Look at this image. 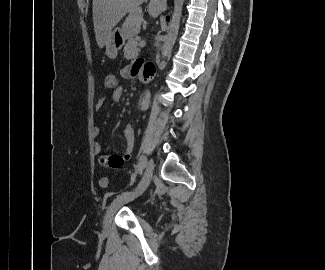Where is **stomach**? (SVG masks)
<instances>
[{
	"label": "stomach",
	"instance_id": "1",
	"mask_svg": "<svg viewBox=\"0 0 325 270\" xmlns=\"http://www.w3.org/2000/svg\"><path fill=\"white\" fill-rule=\"evenodd\" d=\"M149 12L153 17H156L159 14L157 10L153 9H150ZM125 40L126 37L122 30L113 31L105 44L106 55L111 59H115L117 57L118 50L124 45Z\"/></svg>",
	"mask_w": 325,
	"mask_h": 270
}]
</instances>
